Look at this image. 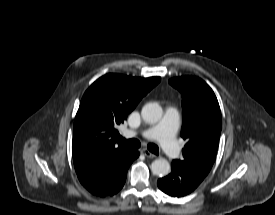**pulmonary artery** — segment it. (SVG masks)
<instances>
[{"mask_svg":"<svg viewBox=\"0 0 275 215\" xmlns=\"http://www.w3.org/2000/svg\"><path fill=\"white\" fill-rule=\"evenodd\" d=\"M179 126V113L177 109L168 107L162 120L140 133L132 130H126L125 135L136 137L140 135L146 140H158L169 158L179 156V149L176 144L175 136Z\"/></svg>","mask_w":275,"mask_h":215,"instance_id":"e3ab8cb5","label":"pulmonary artery"}]
</instances>
